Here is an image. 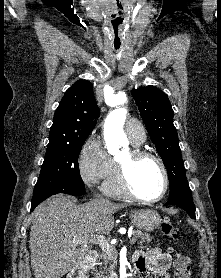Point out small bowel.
<instances>
[{"mask_svg": "<svg viewBox=\"0 0 221 278\" xmlns=\"http://www.w3.org/2000/svg\"><path fill=\"white\" fill-rule=\"evenodd\" d=\"M133 259L138 271L150 270L157 278H169L168 270L176 261L172 252H162L158 248H153L147 253L138 251L133 255Z\"/></svg>", "mask_w": 221, "mask_h": 278, "instance_id": "c3829d8e", "label": "small bowel"}]
</instances>
